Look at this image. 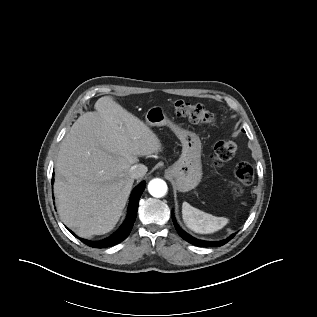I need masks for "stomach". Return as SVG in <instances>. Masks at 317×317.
<instances>
[{"mask_svg":"<svg viewBox=\"0 0 317 317\" xmlns=\"http://www.w3.org/2000/svg\"><path fill=\"white\" fill-rule=\"evenodd\" d=\"M149 126L168 125L176 134L182 144L180 158L165 172L175 183L179 192H188L194 189L202 178L201 141L199 136L170 121L161 106H153L145 115Z\"/></svg>","mask_w":317,"mask_h":317,"instance_id":"stomach-1","label":"stomach"}]
</instances>
